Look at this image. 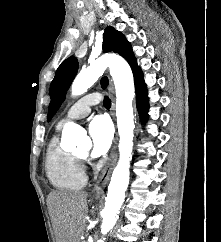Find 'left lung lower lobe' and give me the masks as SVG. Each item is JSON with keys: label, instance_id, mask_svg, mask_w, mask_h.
<instances>
[{"label": "left lung lower lobe", "instance_id": "0a47b994", "mask_svg": "<svg viewBox=\"0 0 221 242\" xmlns=\"http://www.w3.org/2000/svg\"><path fill=\"white\" fill-rule=\"evenodd\" d=\"M135 80V90L137 94V108L139 111L140 118L143 122L147 119L148 113V97L146 85L143 81V73L141 69L133 71Z\"/></svg>", "mask_w": 221, "mask_h": 242}]
</instances>
